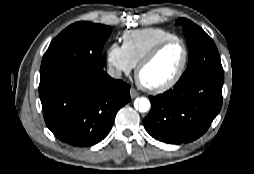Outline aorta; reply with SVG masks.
I'll return each instance as SVG.
<instances>
[{"label":"aorta","instance_id":"aorta-1","mask_svg":"<svg viewBox=\"0 0 254 174\" xmlns=\"http://www.w3.org/2000/svg\"><path fill=\"white\" fill-rule=\"evenodd\" d=\"M134 106L139 112L144 113V112H147L150 109L151 104H150V101L147 98L141 97V98H137L135 100Z\"/></svg>","mask_w":254,"mask_h":174}]
</instances>
